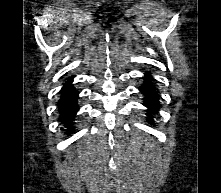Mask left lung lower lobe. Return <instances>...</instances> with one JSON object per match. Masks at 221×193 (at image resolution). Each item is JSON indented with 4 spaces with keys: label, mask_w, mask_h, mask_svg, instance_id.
I'll return each instance as SVG.
<instances>
[{
    "label": "left lung lower lobe",
    "mask_w": 221,
    "mask_h": 193,
    "mask_svg": "<svg viewBox=\"0 0 221 193\" xmlns=\"http://www.w3.org/2000/svg\"><path fill=\"white\" fill-rule=\"evenodd\" d=\"M154 78L152 77L149 71H146L144 74V82L139 87V91L144 96V105L148 108V121L151 123L153 121V114L157 113V110L160 107L159 104V91L154 84Z\"/></svg>",
    "instance_id": "0a47b994"
}]
</instances>
